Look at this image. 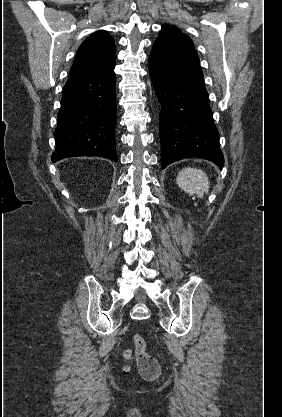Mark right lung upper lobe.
<instances>
[{"label":"right lung upper lobe","instance_id":"cb5924a9","mask_svg":"<svg viewBox=\"0 0 282 417\" xmlns=\"http://www.w3.org/2000/svg\"><path fill=\"white\" fill-rule=\"evenodd\" d=\"M116 60L115 43L105 31L89 36L79 47L69 77H73L100 66L110 65Z\"/></svg>","mask_w":282,"mask_h":417}]
</instances>
